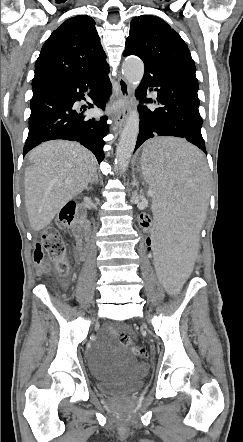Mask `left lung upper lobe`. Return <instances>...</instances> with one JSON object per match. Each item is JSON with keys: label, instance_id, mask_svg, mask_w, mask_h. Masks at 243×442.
Returning a JSON list of instances; mask_svg holds the SVG:
<instances>
[{"label": "left lung upper lobe", "instance_id": "left-lung-upper-lobe-1", "mask_svg": "<svg viewBox=\"0 0 243 442\" xmlns=\"http://www.w3.org/2000/svg\"><path fill=\"white\" fill-rule=\"evenodd\" d=\"M143 62L179 70L196 71L190 51L180 37L162 19L143 15L131 21L125 51Z\"/></svg>", "mask_w": 243, "mask_h": 442}]
</instances>
